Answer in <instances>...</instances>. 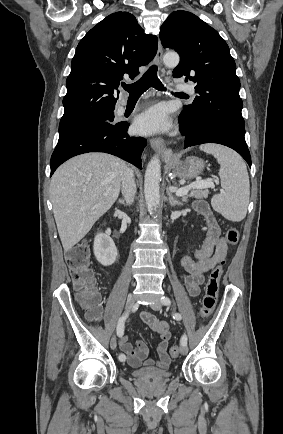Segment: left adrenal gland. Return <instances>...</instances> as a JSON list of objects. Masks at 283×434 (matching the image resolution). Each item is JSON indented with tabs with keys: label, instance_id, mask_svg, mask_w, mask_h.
Listing matches in <instances>:
<instances>
[{
	"label": "left adrenal gland",
	"instance_id": "1",
	"mask_svg": "<svg viewBox=\"0 0 283 434\" xmlns=\"http://www.w3.org/2000/svg\"><path fill=\"white\" fill-rule=\"evenodd\" d=\"M166 191H167L168 201H169L170 206L174 207L176 205H182L183 204V203L179 202L176 198L173 197L169 188H167Z\"/></svg>",
	"mask_w": 283,
	"mask_h": 434
}]
</instances>
